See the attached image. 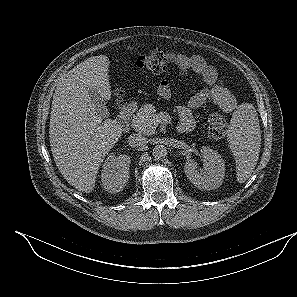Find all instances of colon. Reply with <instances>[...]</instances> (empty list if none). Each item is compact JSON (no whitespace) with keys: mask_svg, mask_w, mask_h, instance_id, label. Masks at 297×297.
<instances>
[{"mask_svg":"<svg viewBox=\"0 0 297 297\" xmlns=\"http://www.w3.org/2000/svg\"><path fill=\"white\" fill-rule=\"evenodd\" d=\"M171 56L163 51H152L137 59V66L156 74H165L169 70ZM208 132L212 138L221 139L227 133V120L219 113L212 114L208 119Z\"/></svg>","mask_w":297,"mask_h":297,"instance_id":"1","label":"colon"}]
</instances>
